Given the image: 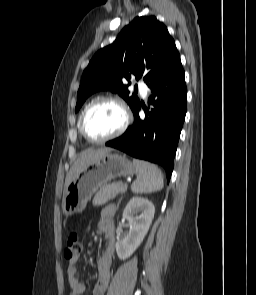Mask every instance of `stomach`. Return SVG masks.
Masks as SVG:
<instances>
[{
    "label": "stomach",
    "mask_w": 256,
    "mask_h": 295,
    "mask_svg": "<svg viewBox=\"0 0 256 295\" xmlns=\"http://www.w3.org/2000/svg\"><path fill=\"white\" fill-rule=\"evenodd\" d=\"M137 172L125 156L107 153L81 170L66 188L62 208L66 217L81 213L93 194L107 182Z\"/></svg>",
    "instance_id": "obj_1"
}]
</instances>
